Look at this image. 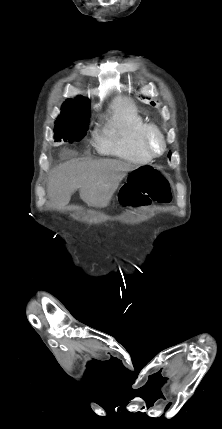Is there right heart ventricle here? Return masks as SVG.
I'll return each instance as SVG.
<instances>
[{"mask_svg":"<svg viewBox=\"0 0 222 429\" xmlns=\"http://www.w3.org/2000/svg\"><path fill=\"white\" fill-rule=\"evenodd\" d=\"M147 125L137 106L128 99H121L112 107L111 130L97 137L98 148L133 163H148L152 158L142 146Z\"/></svg>","mask_w":222,"mask_h":429,"instance_id":"obj_1","label":"right heart ventricle"}]
</instances>
